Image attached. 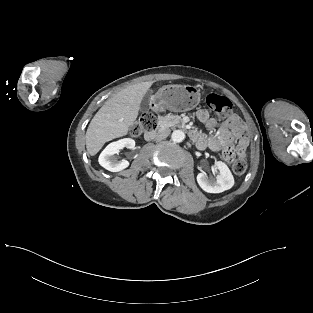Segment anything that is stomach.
<instances>
[{
  "instance_id": "0dacf381",
  "label": "stomach",
  "mask_w": 313,
  "mask_h": 313,
  "mask_svg": "<svg viewBox=\"0 0 313 313\" xmlns=\"http://www.w3.org/2000/svg\"><path fill=\"white\" fill-rule=\"evenodd\" d=\"M200 100V91L194 86L167 85L152 97V105L157 109L182 112L195 108Z\"/></svg>"
}]
</instances>
